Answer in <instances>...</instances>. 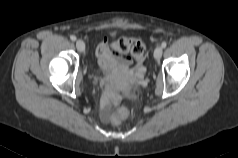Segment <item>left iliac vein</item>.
I'll return each instance as SVG.
<instances>
[{"label":"left iliac vein","mask_w":238,"mask_h":158,"mask_svg":"<svg viewBox=\"0 0 238 158\" xmlns=\"http://www.w3.org/2000/svg\"><path fill=\"white\" fill-rule=\"evenodd\" d=\"M162 53H163L162 47L161 46L156 47L154 50V58L157 60L160 59L162 56Z\"/></svg>","instance_id":"obj_1"}]
</instances>
